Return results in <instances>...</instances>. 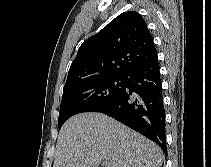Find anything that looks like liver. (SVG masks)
<instances>
[{
    "instance_id": "1",
    "label": "liver",
    "mask_w": 211,
    "mask_h": 167,
    "mask_svg": "<svg viewBox=\"0 0 211 167\" xmlns=\"http://www.w3.org/2000/svg\"><path fill=\"white\" fill-rule=\"evenodd\" d=\"M161 148L101 113H81L63 125L53 167H160Z\"/></svg>"
}]
</instances>
